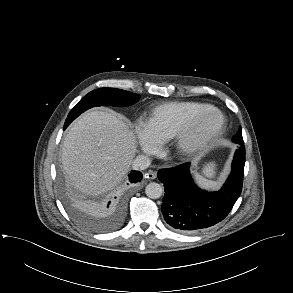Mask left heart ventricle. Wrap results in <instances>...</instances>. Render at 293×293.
<instances>
[{
  "label": "left heart ventricle",
  "instance_id": "left-heart-ventricle-1",
  "mask_svg": "<svg viewBox=\"0 0 293 293\" xmlns=\"http://www.w3.org/2000/svg\"><path fill=\"white\" fill-rule=\"evenodd\" d=\"M217 122L218 116L216 114L208 115L202 124V130H209L213 128Z\"/></svg>",
  "mask_w": 293,
  "mask_h": 293
}]
</instances>
